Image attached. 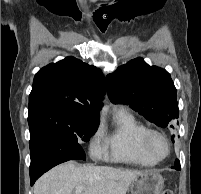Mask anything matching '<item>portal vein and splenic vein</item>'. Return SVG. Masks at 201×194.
<instances>
[{
  "label": "portal vein and splenic vein",
  "instance_id": "18ae733b",
  "mask_svg": "<svg viewBox=\"0 0 201 194\" xmlns=\"http://www.w3.org/2000/svg\"><path fill=\"white\" fill-rule=\"evenodd\" d=\"M84 187L82 186H77L75 187V194H80L83 191Z\"/></svg>",
  "mask_w": 201,
  "mask_h": 194
}]
</instances>
